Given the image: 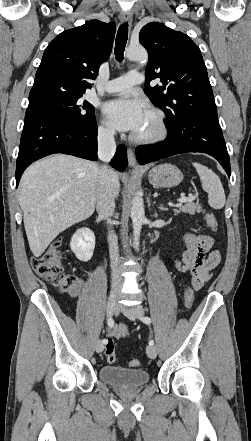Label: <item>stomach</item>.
<instances>
[{
	"label": "stomach",
	"mask_w": 251,
	"mask_h": 441,
	"mask_svg": "<svg viewBox=\"0 0 251 441\" xmlns=\"http://www.w3.org/2000/svg\"><path fill=\"white\" fill-rule=\"evenodd\" d=\"M148 181L155 188H172L183 180V173L175 165L165 163L148 172Z\"/></svg>",
	"instance_id": "stomach-1"
}]
</instances>
